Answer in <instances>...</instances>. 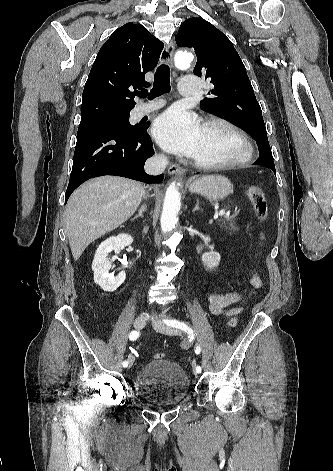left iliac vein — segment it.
<instances>
[{"mask_svg": "<svg viewBox=\"0 0 333 471\" xmlns=\"http://www.w3.org/2000/svg\"><path fill=\"white\" fill-rule=\"evenodd\" d=\"M152 324H153V327L156 331L160 332V333H163V334H167V335H179L180 334V331L171 327V326H168L167 324H165L163 321L155 318L153 321H152ZM194 373L197 374L196 370H194Z\"/></svg>", "mask_w": 333, "mask_h": 471, "instance_id": "1", "label": "left iliac vein"}]
</instances>
